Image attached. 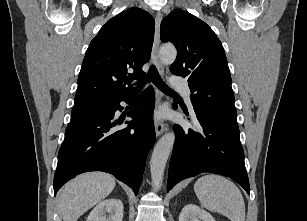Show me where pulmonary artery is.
Wrapping results in <instances>:
<instances>
[{
  "mask_svg": "<svg viewBox=\"0 0 307 221\" xmlns=\"http://www.w3.org/2000/svg\"><path fill=\"white\" fill-rule=\"evenodd\" d=\"M172 85H173L174 88L178 89L179 91H181L184 94L188 103L190 104L191 91H190L188 84L186 82L178 81V80L175 79V80H173Z\"/></svg>",
  "mask_w": 307,
  "mask_h": 221,
  "instance_id": "e3ab8cb5",
  "label": "pulmonary artery"
}]
</instances>
